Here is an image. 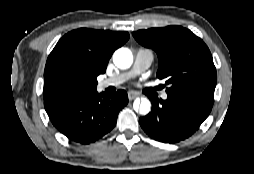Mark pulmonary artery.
<instances>
[{"mask_svg": "<svg viewBox=\"0 0 254 174\" xmlns=\"http://www.w3.org/2000/svg\"><path fill=\"white\" fill-rule=\"evenodd\" d=\"M153 60H154V54L151 50L140 48L135 55L134 65L131 71L123 72V73L105 78L99 83V87L101 89H104L111 86H119L123 84L124 82L128 81L129 79H131L132 77H134L135 75L140 74L141 72L149 68ZM162 98L166 100L167 93H163Z\"/></svg>", "mask_w": 254, "mask_h": 174, "instance_id": "1", "label": "pulmonary artery"}]
</instances>
